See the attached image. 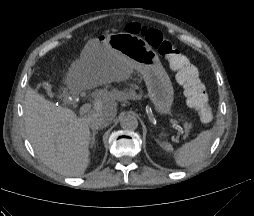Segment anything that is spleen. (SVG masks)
Segmentation results:
<instances>
[{
  "label": "spleen",
  "mask_w": 254,
  "mask_h": 216,
  "mask_svg": "<svg viewBox=\"0 0 254 216\" xmlns=\"http://www.w3.org/2000/svg\"><path fill=\"white\" fill-rule=\"evenodd\" d=\"M213 137L212 130L202 131L194 140L183 144L174 154L176 164L180 167H188L199 162L206 154ZM163 149L172 152L173 147L170 143H164Z\"/></svg>",
  "instance_id": "3e777b00"
}]
</instances>
